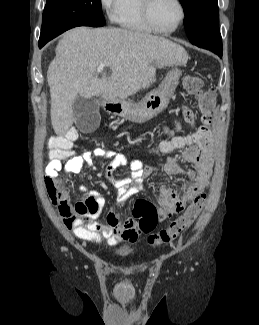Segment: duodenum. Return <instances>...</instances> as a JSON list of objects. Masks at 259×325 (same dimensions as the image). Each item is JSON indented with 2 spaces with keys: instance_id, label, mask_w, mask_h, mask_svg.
Here are the masks:
<instances>
[{
  "instance_id": "duodenum-1",
  "label": "duodenum",
  "mask_w": 259,
  "mask_h": 325,
  "mask_svg": "<svg viewBox=\"0 0 259 325\" xmlns=\"http://www.w3.org/2000/svg\"><path fill=\"white\" fill-rule=\"evenodd\" d=\"M103 107L105 108V109H107V110H109L111 107H112V105L111 104H109V103H103Z\"/></svg>"
}]
</instances>
